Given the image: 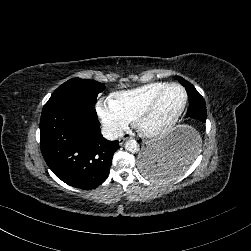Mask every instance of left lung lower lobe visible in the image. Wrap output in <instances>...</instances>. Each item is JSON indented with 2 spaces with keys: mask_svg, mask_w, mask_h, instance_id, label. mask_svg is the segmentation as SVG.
Segmentation results:
<instances>
[{
  "mask_svg": "<svg viewBox=\"0 0 251 251\" xmlns=\"http://www.w3.org/2000/svg\"><path fill=\"white\" fill-rule=\"evenodd\" d=\"M188 93V126L176 137L145 147L139 157L141 174L154 183H165L180 176L196 160L201 145V129L206 122L204 99Z\"/></svg>",
  "mask_w": 251,
  "mask_h": 251,
  "instance_id": "obj_1",
  "label": "left lung lower lobe"
}]
</instances>
